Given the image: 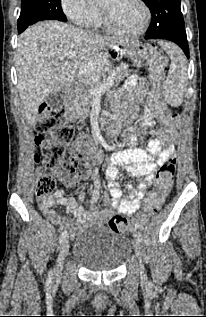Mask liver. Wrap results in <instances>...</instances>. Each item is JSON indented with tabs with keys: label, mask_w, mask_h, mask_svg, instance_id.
<instances>
[{
	"label": "liver",
	"mask_w": 206,
	"mask_h": 317,
	"mask_svg": "<svg viewBox=\"0 0 206 317\" xmlns=\"http://www.w3.org/2000/svg\"><path fill=\"white\" fill-rule=\"evenodd\" d=\"M132 43L101 36L58 21H44L27 28L19 37L16 70L18 90L27 121L34 125L40 105L50 93L71 86L79 69L93 60L100 64L104 47ZM68 52L76 57L66 61Z\"/></svg>",
	"instance_id": "liver-1"
}]
</instances>
